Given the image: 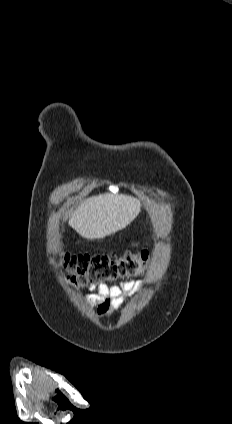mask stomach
Here are the masks:
<instances>
[{
	"mask_svg": "<svg viewBox=\"0 0 232 424\" xmlns=\"http://www.w3.org/2000/svg\"><path fill=\"white\" fill-rule=\"evenodd\" d=\"M129 246L132 247V248L133 247H137L138 246V243L137 242H132L131 245H129Z\"/></svg>",
	"mask_w": 232,
	"mask_h": 424,
	"instance_id": "stomach-1",
	"label": "stomach"
}]
</instances>
